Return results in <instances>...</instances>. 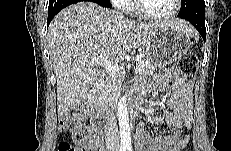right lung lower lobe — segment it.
<instances>
[{"instance_id":"right-lung-lower-lobe-1","label":"right lung lower lobe","mask_w":231,"mask_h":151,"mask_svg":"<svg viewBox=\"0 0 231 151\" xmlns=\"http://www.w3.org/2000/svg\"><path fill=\"white\" fill-rule=\"evenodd\" d=\"M94 3H97L103 7H111L109 0H91ZM80 2V0H50L49 1V7H48V19H47V25L50 24L51 20L54 18V16L61 11L63 8Z\"/></svg>"}]
</instances>
